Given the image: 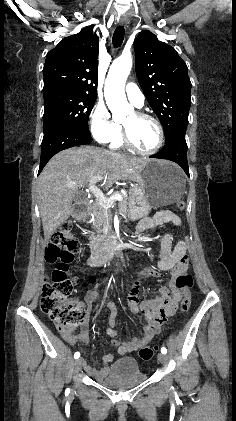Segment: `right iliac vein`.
Wrapping results in <instances>:
<instances>
[{
	"instance_id": "1",
	"label": "right iliac vein",
	"mask_w": 236,
	"mask_h": 421,
	"mask_svg": "<svg viewBox=\"0 0 236 421\" xmlns=\"http://www.w3.org/2000/svg\"><path fill=\"white\" fill-rule=\"evenodd\" d=\"M83 362H84L83 358H79V359L75 360L74 368H75L76 371H79L81 369V367L83 365Z\"/></svg>"
}]
</instances>
